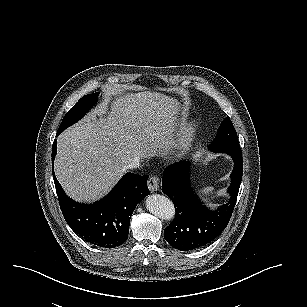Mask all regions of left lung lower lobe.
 Wrapping results in <instances>:
<instances>
[{"label":"left lung lower lobe","instance_id":"0a47b994","mask_svg":"<svg viewBox=\"0 0 307 307\" xmlns=\"http://www.w3.org/2000/svg\"><path fill=\"white\" fill-rule=\"evenodd\" d=\"M230 155V154H229ZM234 169L228 188L230 200L216 211H209L195 196L189 182V161L168 166L162 177V191L172 200L176 216L164 230L166 241L181 251L205 247L226 228L236 204L242 181V154L231 155Z\"/></svg>","mask_w":307,"mask_h":307}]
</instances>
